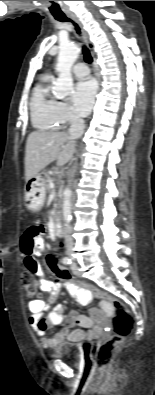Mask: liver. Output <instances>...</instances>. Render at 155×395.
<instances>
[{"instance_id": "6515ba94", "label": "liver", "mask_w": 155, "mask_h": 395, "mask_svg": "<svg viewBox=\"0 0 155 395\" xmlns=\"http://www.w3.org/2000/svg\"><path fill=\"white\" fill-rule=\"evenodd\" d=\"M75 151V140L66 132L34 131L30 133L25 150V180L28 182L54 161L62 166Z\"/></svg>"}]
</instances>
